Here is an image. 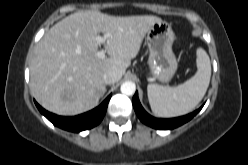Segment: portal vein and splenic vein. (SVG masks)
Returning <instances> with one entry per match:
<instances>
[{
  "mask_svg": "<svg viewBox=\"0 0 248 165\" xmlns=\"http://www.w3.org/2000/svg\"><path fill=\"white\" fill-rule=\"evenodd\" d=\"M109 37H111L110 33H106L103 36H96L94 37V39L99 42V43H103L106 39H108ZM97 56L100 59H104L105 58V51L104 50H100L97 52Z\"/></svg>",
  "mask_w": 248,
  "mask_h": 165,
  "instance_id": "1",
  "label": "portal vein and splenic vein"
}]
</instances>
